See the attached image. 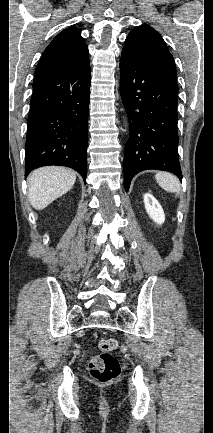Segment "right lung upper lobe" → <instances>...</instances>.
Wrapping results in <instances>:
<instances>
[{
  "label": "right lung upper lobe",
  "instance_id": "obj_1",
  "mask_svg": "<svg viewBox=\"0 0 213 433\" xmlns=\"http://www.w3.org/2000/svg\"><path fill=\"white\" fill-rule=\"evenodd\" d=\"M87 60L88 48L81 37V29L70 27L59 33L45 49L35 74L69 70Z\"/></svg>",
  "mask_w": 213,
  "mask_h": 433
}]
</instances>
